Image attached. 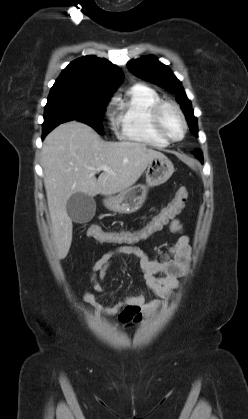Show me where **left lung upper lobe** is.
Listing matches in <instances>:
<instances>
[{
	"label": "left lung upper lobe",
	"mask_w": 248,
	"mask_h": 419,
	"mask_svg": "<svg viewBox=\"0 0 248 419\" xmlns=\"http://www.w3.org/2000/svg\"><path fill=\"white\" fill-rule=\"evenodd\" d=\"M127 67L136 76L149 80L176 94V100L185 114L191 133L198 137L197 118L193 114L191 102L187 98L181 82L168 66L162 64L153 56H146L128 63Z\"/></svg>",
	"instance_id": "1"
}]
</instances>
